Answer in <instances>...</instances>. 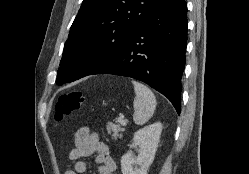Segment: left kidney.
<instances>
[{"label":"left kidney","mask_w":249,"mask_h":174,"mask_svg":"<svg viewBox=\"0 0 249 174\" xmlns=\"http://www.w3.org/2000/svg\"><path fill=\"white\" fill-rule=\"evenodd\" d=\"M162 123L157 122L139 129L134 133L131 147L138 148V156L127 152L121 158L123 174H147L158 147Z\"/></svg>","instance_id":"5707ae66"}]
</instances>
